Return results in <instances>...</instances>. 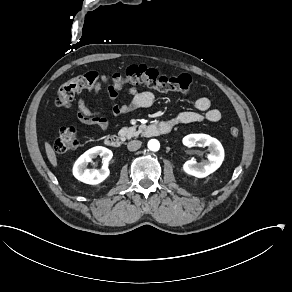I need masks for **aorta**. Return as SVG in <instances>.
<instances>
[{
	"mask_svg": "<svg viewBox=\"0 0 292 292\" xmlns=\"http://www.w3.org/2000/svg\"><path fill=\"white\" fill-rule=\"evenodd\" d=\"M159 148H160V143L157 140L152 139L148 142V149L150 151L156 152L159 150Z\"/></svg>",
	"mask_w": 292,
	"mask_h": 292,
	"instance_id": "obj_1",
	"label": "aorta"
}]
</instances>
